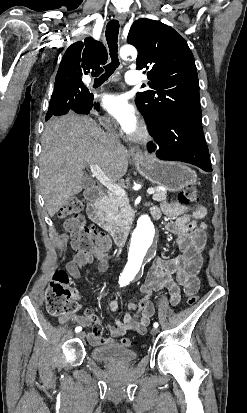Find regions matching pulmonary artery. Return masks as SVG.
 I'll list each match as a JSON object with an SVG mask.
<instances>
[{"label": "pulmonary artery", "mask_w": 247, "mask_h": 413, "mask_svg": "<svg viewBox=\"0 0 247 413\" xmlns=\"http://www.w3.org/2000/svg\"><path fill=\"white\" fill-rule=\"evenodd\" d=\"M138 73H139L138 70L131 69L130 72H128L125 76L126 81L130 84H134L135 86H140L141 82L146 80V75H142L140 77V76H138ZM83 82L89 89H92L93 79L90 75H86L83 78Z\"/></svg>", "instance_id": "1"}]
</instances>
